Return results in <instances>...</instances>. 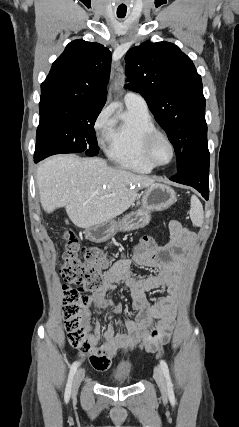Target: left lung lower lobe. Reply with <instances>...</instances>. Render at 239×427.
<instances>
[{
  "label": "left lung lower lobe",
  "mask_w": 239,
  "mask_h": 427,
  "mask_svg": "<svg viewBox=\"0 0 239 427\" xmlns=\"http://www.w3.org/2000/svg\"><path fill=\"white\" fill-rule=\"evenodd\" d=\"M180 184L189 185L209 199V155L199 158L185 170L170 178Z\"/></svg>",
  "instance_id": "0a47b994"
}]
</instances>
